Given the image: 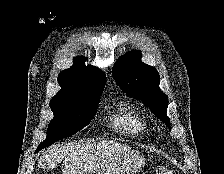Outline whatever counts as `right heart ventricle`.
Listing matches in <instances>:
<instances>
[{
  "mask_svg": "<svg viewBox=\"0 0 224 174\" xmlns=\"http://www.w3.org/2000/svg\"><path fill=\"white\" fill-rule=\"evenodd\" d=\"M115 131L127 135L139 136L147 132V124L134 106L121 104L112 117Z\"/></svg>",
  "mask_w": 224,
  "mask_h": 174,
  "instance_id": "e07e8e85",
  "label": "right heart ventricle"
}]
</instances>
